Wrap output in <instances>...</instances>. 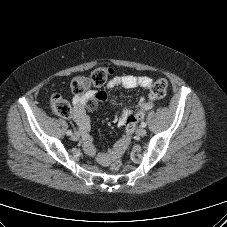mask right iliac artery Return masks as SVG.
<instances>
[{
	"label": "right iliac artery",
	"instance_id": "1",
	"mask_svg": "<svg viewBox=\"0 0 227 227\" xmlns=\"http://www.w3.org/2000/svg\"><path fill=\"white\" fill-rule=\"evenodd\" d=\"M66 134H67L68 136H70V135H72V131H71V130H68V131L66 132Z\"/></svg>",
	"mask_w": 227,
	"mask_h": 227
}]
</instances>
